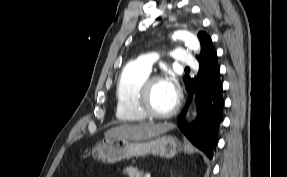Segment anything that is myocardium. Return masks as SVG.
I'll list each match as a JSON object with an SVG mask.
<instances>
[{
  "label": "myocardium",
  "mask_w": 287,
  "mask_h": 177,
  "mask_svg": "<svg viewBox=\"0 0 287 177\" xmlns=\"http://www.w3.org/2000/svg\"><path fill=\"white\" fill-rule=\"evenodd\" d=\"M162 80L163 78L159 75L149 76L144 81V83L142 84L140 88V91L137 97V107L140 110V112L146 117L153 118V119L169 118L175 115L180 108L181 96H180V93L177 92L175 104L169 111L160 113V112H156L155 110H153L151 106V102H150L152 87L156 82L162 81Z\"/></svg>",
  "instance_id": "1"
}]
</instances>
